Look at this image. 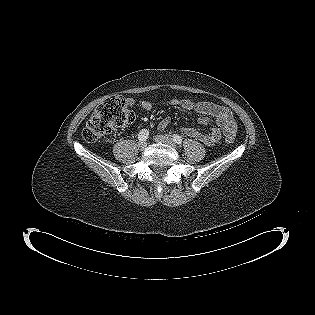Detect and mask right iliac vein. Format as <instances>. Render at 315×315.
<instances>
[{
  "instance_id": "right-iliac-vein-1",
  "label": "right iliac vein",
  "mask_w": 315,
  "mask_h": 315,
  "mask_svg": "<svg viewBox=\"0 0 315 315\" xmlns=\"http://www.w3.org/2000/svg\"><path fill=\"white\" fill-rule=\"evenodd\" d=\"M138 147H139L141 150L145 149V148L147 147V142H146V141H140V142L138 143Z\"/></svg>"
}]
</instances>
